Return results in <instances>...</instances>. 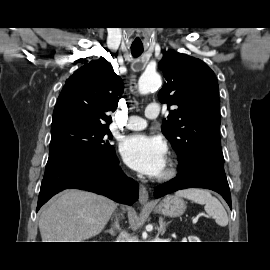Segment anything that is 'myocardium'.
I'll use <instances>...</instances> for the list:
<instances>
[{
    "label": "myocardium",
    "instance_id": "obj_1",
    "mask_svg": "<svg viewBox=\"0 0 270 270\" xmlns=\"http://www.w3.org/2000/svg\"><path fill=\"white\" fill-rule=\"evenodd\" d=\"M176 175V165L174 160L170 159L168 161L167 167L165 170L159 175V181H167L172 179Z\"/></svg>",
    "mask_w": 270,
    "mask_h": 270
}]
</instances>
